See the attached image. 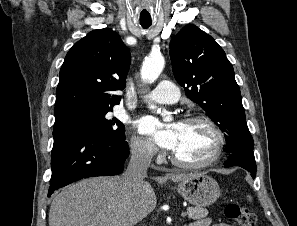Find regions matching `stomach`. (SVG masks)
Wrapping results in <instances>:
<instances>
[{
	"mask_svg": "<svg viewBox=\"0 0 297 226\" xmlns=\"http://www.w3.org/2000/svg\"><path fill=\"white\" fill-rule=\"evenodd\" d=\"M177 191L188 202L198 207L213 204L220 196L218 183L204 173H196L183 179L177 185Z\"/></svg>",
	"mask_w": 297,
	"mask_h": 226,
	"instance_id": "obj_1",
	"label": "stomach"
}]
</instances>
